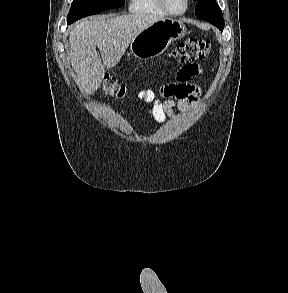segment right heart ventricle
Returning <instances> with one entry per match:
<instances>
[{"label":"right heart ventricle","mask_w":288,"mask_h":293,"mask_svg":"<svg viewBox=\"0 0 288 293\" xmlns=\"http://www.w3.org/2000/svg\"><path fill=\"white\" fill-rule=\"evenodd\" d=\"M129 10L137 14L167 15L157 0H130Z\"/></svg>","instance_id":"1"}]
</instances>
